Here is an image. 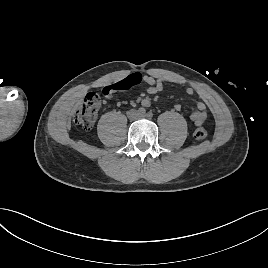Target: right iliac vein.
I'll return each instance as SVG.
<instances>
[{"label": "right iliac vein", "mask_w": 268, "mask_h": 268, "mask_svg": "<svg viewBox=\"0 0 268 268\" xmlns=\"http://www.w3.org/2000/svg\"><path fill=\"white\" fill-rule=\"evenodd\" d=\"M136 112L134 111V110H132V111H130L129 112V117L131 118V119H136Z\"/></svg>", "instance_id": "obj_1"}]
</instances>
